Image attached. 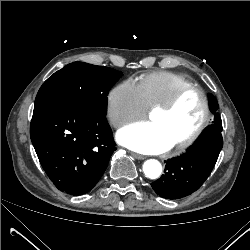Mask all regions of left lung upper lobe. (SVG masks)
Instances as JSON below:
<instances>
[{
    "label": "left lung upper lobe",
    "mask_w": 250,
    "mask_h": 250,
    "mask_svg": "<svg viewBox=\"0 0 250 250\" xmlns=\"http://www.w3.org/2000/svg\"><path fill=\"white\" fill-rule=\"evenodd\" d=\"M209 102L211 112L216 115L215 122L212 126L222 130V121L220 115L217 113L218 103L213 95H209Z\"/></svg>",
    "instance_id": "1"
}]
</instances>
